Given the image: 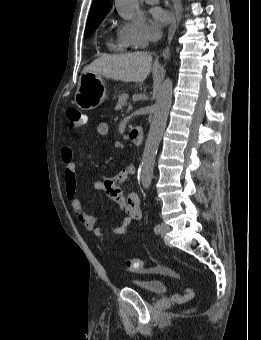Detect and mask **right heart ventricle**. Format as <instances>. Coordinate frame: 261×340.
<instances>
[{
  "label": "right heart ventricle",
  "mask_w": 261,
  "mask_h": 340,
  "mask_svg": "<svg viewBox=\"0 0 261 340\" xmlns=\"http://www.w3.org/2000/svg\"><path fill=\"white\" fill-rule=\"evenodd\" d=\"M107 45L111 51L116 52H123L134 47L119 31L115 37L109 38Z\"/></svg>",
  "instance_id": "1"
}]
</instances>
